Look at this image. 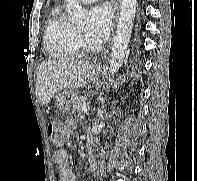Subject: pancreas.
I'll return each mask as SVG.
<instances>
[{"label": "pancreas", "mask_w": 197, "mask_h": 181, "mask_svg": "<svg viewBox=\"0 0 197 181\" xmlns=\"http://www.w3.org/2000/svg\"><path fill=\"white\" fill-rule=\"evenodd\" d=\"M84 105H86V96L74 97L72 101V106L75 111H81Z\"/></svg>", "instance_id": "1"}]
</instances>
